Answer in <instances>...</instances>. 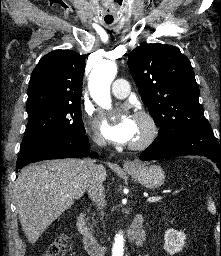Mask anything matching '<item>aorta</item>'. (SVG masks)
Wrapping results in <instances>:
<instances>
[{
  "label": "aorta",
  "mask_w": 221,
  "mask_h": 256,
  "mask_svg": "<svg viewBox=\"0 0 221 256\" xmlns=\"http://www.w3.org/2000/svg\"><path fill=\"white\" fill-rule=\"evenodd\" d=\"M117 74V65L112 61H100L91 71L88 88L93 100L102 108H111L110 85ZM124 238L115 236L112 256H123Z\"/></svg>",
  "instance_id": "aorta-1"
}]
</instances>
